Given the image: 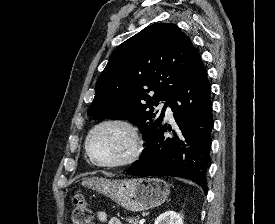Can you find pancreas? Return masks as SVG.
<instances>
[{"mask_svg": "<svg viewBox=\"0 0 275 224\" xmlns=\"http://www.w3.org/2000/svg\"><path fill=\"white\" fill-rule=\"evenodd\" d=\"M126 221L128 224H138L139 223V217H127Z\"/></svg>", "mask_w": 275, "mask_h": 224, "instance_id": "pancreas-1", "label": "pancreas"}]
</instances>
